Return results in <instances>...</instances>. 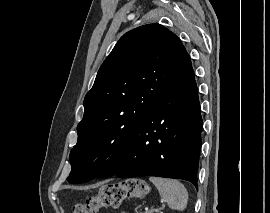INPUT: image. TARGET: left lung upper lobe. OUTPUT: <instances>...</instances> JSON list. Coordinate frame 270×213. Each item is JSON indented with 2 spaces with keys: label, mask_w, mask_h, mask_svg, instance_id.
Instances as JSON below:
<instances>
[{
  "label": "left lung upper lobe",
  "mask_w": 270,
  "mask_h": 213,
  "mask_svg": "<svg viewBox=\"0 0 270 213\" xmlns=\"http://www.w3.org/2000/svg\"><path fill=\"white\" fill-rule=\"evenodd\" d=\"M190 66L180 39L160 24L143 25L124 34L85 96L67 180L90 181L109 165L176 77Z\"/></svg>",
  "instance_id": "5c2ea615"
}]
</instances>
